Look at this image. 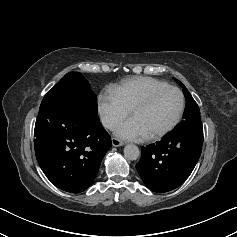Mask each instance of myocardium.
Returning <instances> with one entry per match:
<instances>
[{
    "mask_svg": "<svg viewBox=\"0 0 237 237\" xmlns=\"http://www.w3.org/2000/svg\"><path fill=\"white\" fill-rule=\"evenodd\" d=\"M166 90H173V91L177 92V94L179 95L180 104H179L178 111H177L175 117L172 119V121L165 128H163L162 130H160L154 134L146 136V138H145L146 140H157V139L165 136L167 133H169L178 124V122L180 121V119L183 115L184 108H185V97H184L182 91L179 88L172 86V85H166L163 87L153 89L150 92H148L146 95H144L142 98L137 100L129 109V115L131 116V114L134 110L145 107L154 99V97H156L158 94H160L161 92L166 91Z\"/></svg>",
    "mask_w": 237,
    "mask_h": 237,
    "instance_id": "f54148a6",
    "label": "myocardium"
}]
</instances>
